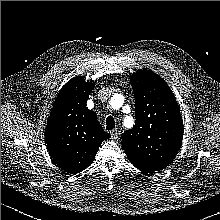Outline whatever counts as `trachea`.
Listing matches in <instances>:
<instances>
[{
	"label": "trachea",
	"mask_w": 220,
	"mask_h": 220,
	"mask_svg": "<svg viewBox=\"0 0 220 220\" xmlns=\"http://www.w3.org/2000/svg\"><path fill=\"white\" fill-rule=\"evenodd\" d=\"M115 128V121L112 116H108L106 119V130H112Z\"/></svg>",
	"instance_id": "obj_1"
}]
</instances>
